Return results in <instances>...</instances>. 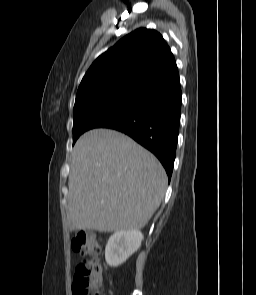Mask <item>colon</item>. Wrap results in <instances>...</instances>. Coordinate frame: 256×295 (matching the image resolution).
<instances>
[{"instance_id": "5ec220e1", "label": "colon", "mask_w": 256, "mask_h": 295, "mask_svg": "<svg viewBox=\"0 0 256 295\" xmlns=\"http://www.w3.org/2000/svg\"><path fill=\"white\" fill-rule=\"evenodd\" d=\"M71 248L83 257L74 274L73 295H101L102 268L99 262L101 252L99 241L91 233L78 231L71 239Z\"/></svg>"}]
</instances>
